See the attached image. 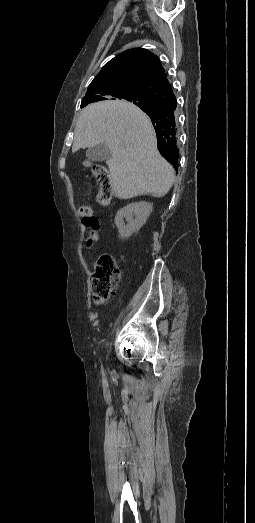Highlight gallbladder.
<instances>
[{
    "mask_svg": "<svg viewBox=\"0 0 255 523\" xmlns=\"http://www.w3.org/2000/svg\"><path fill=\"white\" fill-rule=\"evenodd\" d=\"M86 158L91 160V162H104V160H111L112 154L107 144L103 142V144H97L93 148H88Z\"/></svg>",
    "mask_w": 255,
    "mask_h": 523,
    "instance_id": "1",
    "label": "gallbladder"
}]
</instances>
